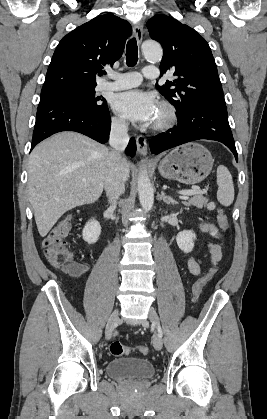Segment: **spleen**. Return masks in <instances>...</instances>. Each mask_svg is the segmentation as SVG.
I'll list each match as a JSON object with an SVG mask.
<instances>
[{"label":"spleen","instance_id":"1","mask_svg":"<svg viewBox=\"0 0 267 419\" xmlns=\"http://www.w3.org/2000/svg\"><path fill=\"white\" fill-rule=\"evenodd\" d=\"M217 200L223 206H229L234 200V186L232 176L227 167L220 165L217 168Z\"/></svg>","mask_w":267,"mask_h":419}]
</instances>
